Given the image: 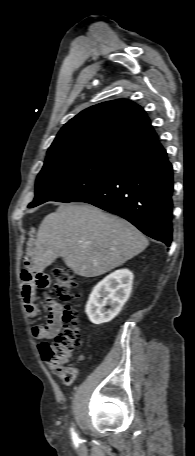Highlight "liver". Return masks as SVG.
<instances>
[{"label":"liver","instance_id":"1","mask_svg":"<svg viewBox=\"0 0 195 456\" xmlns=\"http://www.w3.org/2000/svg\"><path fill=\"white\" fill-rule=\"evenodd\" d=\"M148 246L131 223L89 204H63L40 224L35 267L42 272L56 258L82 277L105 274Z\"/></svg>","mask_w":195,"mask_h":456}]
</instances>
